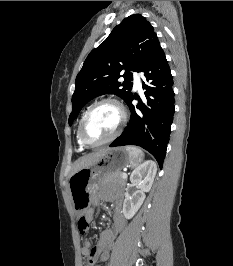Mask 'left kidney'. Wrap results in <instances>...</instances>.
<instances>
[{"mask_svg":"<svg viewBox=\"0 0 233 266\" xmlns=\"http://www.w3.org/2000/svg\"><path fill=\"white\" fill-rule=\"evenodd\" d=\"M156 172L157 167L152 160L145 161L132 172L130 181L138 190L131 196H126L124 200L123 214L126 219H131L141 207L145 193L152 187Z\"/></svg>","mask_w":233,"mask_h":266,"instance_id":"obj_1","label":"left kidney"}]
</instances>
